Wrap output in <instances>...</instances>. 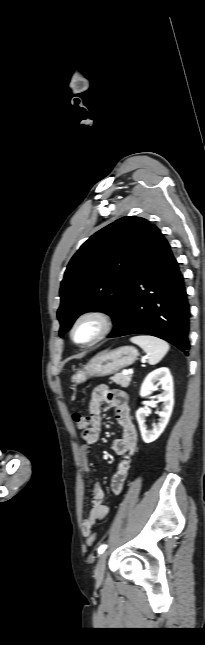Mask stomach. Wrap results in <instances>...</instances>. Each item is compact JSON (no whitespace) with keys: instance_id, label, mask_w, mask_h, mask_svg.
<instances>
[{"instance_id":"0dacf381","label":"stomach","mask_w":205,"mask_h":645,"mask_svg":"<svg viewBox=\"0 0 205 645\" xmlns=\"http://www.w3.org/2000/svg\"><path fill=\"white\" fill-rule=\"evenodd\" d=\"M138 355L132 346H122L114 350H105L94 356L82 370L72 375L74 384L85 382L90 377H104L118 372L134 363ZM75 386V385H73Z\"/></svg>"}]
</instances>
